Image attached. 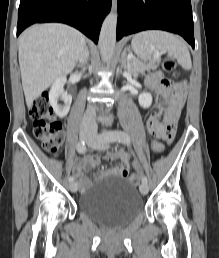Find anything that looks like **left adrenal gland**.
Wrapping results in <instances>:
<instances>
[{
  "label": "left adrenal gland",
  "instance_id": "left-adrenal-gland-1",
  "mask_svg": "<svg viewBox=\"0 0 219 258\" xmlns=\"http://www.w3.org/2000/svg\"><path fill=\"white\" fill-rule=\"evenodd\" d=\"M127 51H128V48L125 50V52L123 53V56H122V65H123L125 68L127 67V63H126Z\"/></svg>",
  "mask_w": 219,
  "mask_h": 258
}]
</instances>
